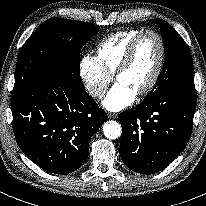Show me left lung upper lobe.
Wrapping results in <instances>:
<instances>
[{
    "label": "left lung upper lobe",
    "mask_w": 206,
    "mask_h": 206,
    "mask_svg": "<svg viewBox=\"0 0 206 206\" xmlns=\"http://www.w3.org/2000/svg\"><path fill=\"white\" fill-rule=\"evenodd\" d=\"M150 21L160 27L165 62L156 85L144 100L164 95L175 89H195L193 62L187 44L169 23L160 19Z\"/></svg>",
    "instance_id": "1"
}]
</instances>
